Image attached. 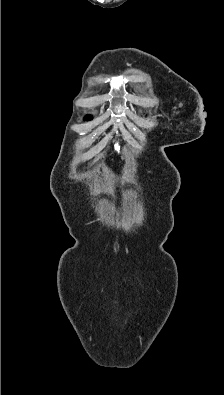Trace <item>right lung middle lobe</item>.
Segmentation results:
<instances>
[{
  "label": "right lung middle lobe",
  "instance_id": "right-lung-middle-lobe-1",
  "mask_svg": "<svg viewBox=\"0 0 224 395\" xmlns=\"http://www.w3.org/2000/svg\"><path fill=\"white\" fill-rule=\"evenodd\" d=\"M86 119H87V120H90V119H91V116H87Z\"/></svg>",
  "mask_w": 224,
  "mask_h": 395
}]
</instances>
